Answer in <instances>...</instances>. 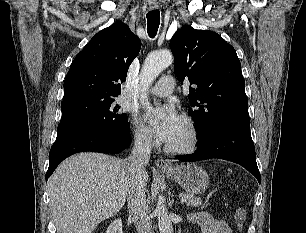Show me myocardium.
I'll return each instance as SVG.
<instances>
[{
    "mask_svg": "<svg viewBox=\"0 0 306 233\" xmlns=\"http://www.w3.org/2000/svg\"><path fill=\"white\" fill-rule=\"evenodd\" d=\"M182 119L186 123L190 133L189 142L186 145L180 147H172L168 144H165L164 149L166 152L170 154L174 155L190 154L196 151V149L198 148L200 136L195 121L190 116L187 115L183 116Z\"/></svg>",
    "mask_w": 306,
    "mask_h": 233,
    "instance_id": "f54148a6",
    "label": "myocardium"
}]
</instances>
